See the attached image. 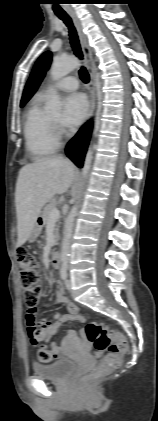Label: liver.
<instances>
[{"mask_svg":"<svg viewBox=\"0 0 158 421\" xmlns=\"http://www.w3.org/2000/svg\"><path fill=\"white\" fill-rule=\"evenodd\" d=\"M75 177V166L62 157L43 159L23 166L15 191L17 245L29 238L42 207L56 194L65 193Z\"/></svg>","mask_w":158,"mask_h":421,"instance_id":"6515ba94","label":"liver"}]
</instances>
